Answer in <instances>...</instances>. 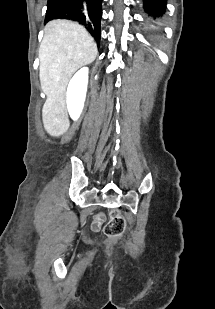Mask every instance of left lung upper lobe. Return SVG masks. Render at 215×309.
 Masks as SVG:
<instances>
[{"label":"left lung upper lobe","mask_w":215,"mask_h":309,"mask_svg":"<svg viewBox=\"0 0 215 309\" xmlns=\"http://www.w3.org/2000/svg\"><path fill=\"white\" fill-rule=\"evenodd\" d=\"M143 1H144L145 13L152 16L154 19L162 15L166 10L165 5L166 0H143Z\"/></svg>","instance_id":"1"}]
</instances>
